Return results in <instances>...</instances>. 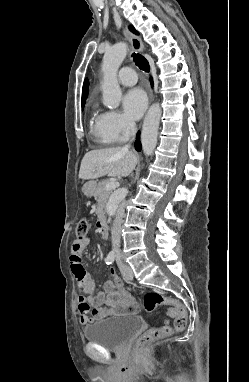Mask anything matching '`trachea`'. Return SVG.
<instances>
[{
    "mask_svg": "<svg viewBox=\"0 0 249 382\" xmlns=\"http://www.w3.org/2000/svg\"><path fill=\"white\" fill-rule=\"evenodd\" d=\"M133 60L135 64L143 71L149 72L150 66L148 61L140 54L133 53L132 54Z\"/></svg>",
    "mask_w": 249,
    "mask_h": 382,
    "instance_id": "3493384b",
    "label": "trachea"
}]
</instances>
